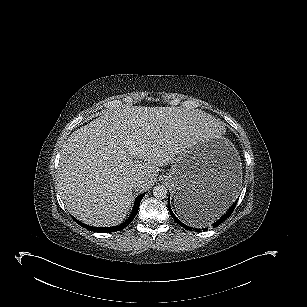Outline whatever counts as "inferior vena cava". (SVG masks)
I'll list each match as a JSON object with an SVG mask.
<instances>
[{"label": "inferior vena cava", "instance_id": "inferior-vena-cava-1", "mask_svg": "<svg viewBox=\"0 0 307 307\" xmlns=\"http://www.w3.org/2000/svg\"><path fill=\"white\" fill-rule=\"evenodd\" d=\"M143 183V181L142 180H139V179H134V180H132L131 182H130V186L132 187V188H138L141 184Z\"/></svg>", "mask_w": 307, "mask_h": 307}]
</instances>
